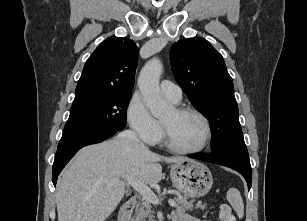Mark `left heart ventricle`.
<instances>
[{
    "label": "left heart ventricle",
    "mask_w": 307,
    "mask_h": 221,
    "mask_svg": "<svg viewBox=\"0 0 307 221\" xmlns=\"http://www.w3.org/2000/svg\"><path fill=\"white\" fill-rule=\"evenodd\" d=\"M172 143L180 148H194L204 137V125L193 114H178L174 109L162 118Z\"/></svg>",
    "instance_id": "obj_1"
}]
</instances>
